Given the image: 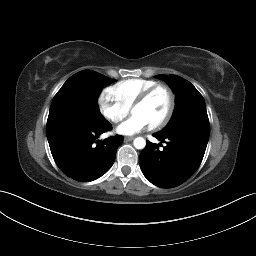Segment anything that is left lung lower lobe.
Segmentation results:
<instances>
[{
	"label": "left lung lower lobe",
	"mask_w": 256,
	"mask_h": 256,
	"mask_svg": "<svg viewBox=\"0 0 256 256\" xmlns=\"http://www.w3.org/2000/svg\"><path fill=\"white\" fill-rule=\"evenodd\" d=\"M153 136L167 145L161 151V144L147 142L139 157L144 176L161 188H173L188 180L201 164L209 137L189 130Z\"/></svg>",
	"instance_id": "left-lung-lower-lobe-1"
}]
</instances>
